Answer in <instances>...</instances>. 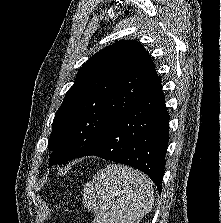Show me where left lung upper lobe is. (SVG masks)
Returning <instances> with one entry per match:
<instances>
[{"label":"left lung upper lobe","mask_w":221,"mask_h":223,"mask_svg":"<svg viewBox=\"0 0 221 223\" xmlns=\"http://www.w3.org/2000/svg\"><path fill=\"white\" fill-rule=\"evenodd\" d=\"M158 76L145 48L118 41L93 55L79 70L56 112L50 166L75 159L120 115L134 105Z\"/></svg>","instance_id":"5c2ea615"}]
</instances>
